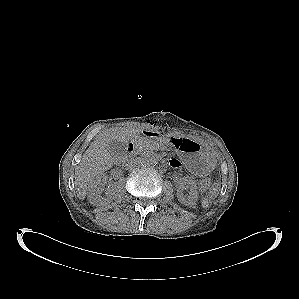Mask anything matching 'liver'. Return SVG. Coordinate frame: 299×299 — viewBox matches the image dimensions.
I'll return each mask as SVG.
<instances>
[{"label": "liver", "mask_w": 299, "mask_h": 299, "mask_svg": "<svg viewBox=\"0 0 299 299\" xmlns=\"http://www.w3.org/2000/svg\"><path fill=\"white\" fill-rule=\"evenodd\" d=\"M136 129L115 128L99 135L82 156L81 162L75 169V188L80 200H84L88 186L95 177L109 170L116 161V154L109 152L112 141L129 142L138 135Z\"/></svg>", "instance_id": "obj_1"}]
</instances>
